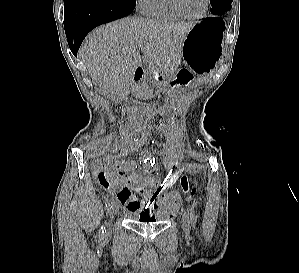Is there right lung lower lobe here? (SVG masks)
Listing matches in <instances>:
<instances>
[{
  "label": "right lung lower lobe",
  "instance_id": "obj_1",
  "mask_svg": "<svg viewBox=\"0 0 299 273\" xmlns=\"http://www.w3.org/2000/svg\"><path fill=\"white\" fill-rule=\"evenodd\" d=\"M136 0H64V28L72 53L77 51L86 35L96 26L125 17Z\"/></svg>",
  "mask_w": 299,
  "mask_h": 273
}]
</instances>
